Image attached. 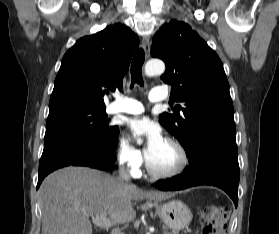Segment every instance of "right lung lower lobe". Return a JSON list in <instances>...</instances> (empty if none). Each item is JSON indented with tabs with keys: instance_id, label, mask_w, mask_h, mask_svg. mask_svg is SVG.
<instances>
[{
	"instance_id": "obj_1",
	"label": "right lung lower lobe",
	"mask_w": 279,
	"mask_h": 234,
	"mask_svg": "<svg viewBox=\"0 0 279 234\" xmlns=\"http://www.w3.org/2000/svg\"><path fill=\"white\" fill-rule=\"evenodd\" d=\"M117 146V141L115 148ZM115 162V151L105 153L93 143L79 138H63L45 144L39 162L37 189L52 171L65 166H87L105 170Z\"/></svg>"
}]
</instances>
